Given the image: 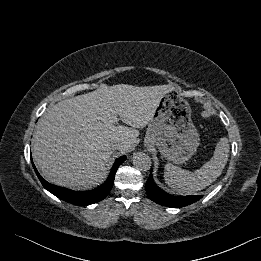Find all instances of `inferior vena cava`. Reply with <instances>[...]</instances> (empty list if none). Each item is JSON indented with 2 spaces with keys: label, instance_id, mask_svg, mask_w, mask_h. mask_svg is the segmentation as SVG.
Returning a JSON list of instances; mask_svg holds the SVG:
<instances>
[{
  "label": "inferior vena cava",
  "instance_id": "inferior-vena-cava-1",
  "mask_svg": "<svg viewBox=\"0 0 261 261\" xmlns=\"http://www.w3.org/2000/svg\"><path fill=\"white\" fill-rule=\"evenodd\" d=\"M120 145H121V143H114V144H112V149L113 150H117L118 148H120Z\"/></svg>",
  "mask_w": 261,
  "mask_h": 261
}]
</instances>
